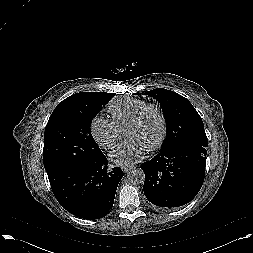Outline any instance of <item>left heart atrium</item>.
<instances>
[{"instance_id": "left-heart-atrium-1", "label": "left heart atrium", "mask_w": 253, "mask_h": 253, "mask_svg": "<svg viewBox=\"0 0 253 253\" xmlns=\"http://www.w3.org/2000/svg\"><path fill=\"white\" fill-rule=\"evenodd\" d=\"M146 152L147 149L140 142L129 139L118 146L110 158L115 164L129 166L142 159Z\"/></svg>"}]
</instances>
